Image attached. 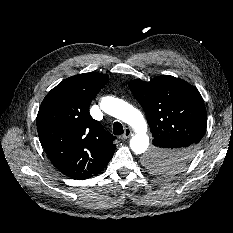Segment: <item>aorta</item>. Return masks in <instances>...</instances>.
<instances>
[{
  "label": "aorta",
  "instance_id": "762f6f07",
  "mask_svg": "<svg viewBox=\"0 0 233 233\" xmlns=\"http://www.w3.org/2000/svg\"><path fill=\"white\" fill-rule=\"evenodd\" d=\"M100 107L107 114L134 129L135 135L130 140V148L134 153L142 154L147 150L149 146L147 123L138 109L123 100L110 96L102 98Z\"/></svg>",
  "mask_w": 233,
  "mask_h": 233
}]
</instances>
